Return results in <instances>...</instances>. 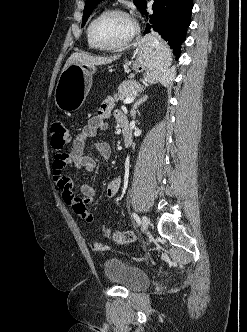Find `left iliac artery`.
Masks as SVG:
<instances>
[{
  "instance_id": "obj_1",
  "label": "left iliac artery",
  "mask_w": 247,
  "mask_h": 332,
  "mask_svg": "<svg viewBox=\"0 0 247 332\" xmlns=\"http://www.w3.org/2000/svg\"><path fill=\"white\" fill-rule=\"evenodd\" d=\"M132 215H133L134 219L136 220V222L138 223V225H140L141 221H140L139 216L136 213H133Z\"/></svg>"
}]
</instances>
